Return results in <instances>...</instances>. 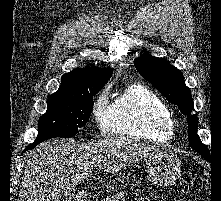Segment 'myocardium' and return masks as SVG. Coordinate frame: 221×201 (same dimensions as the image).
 Returning a JSON list of instances; mask_svg holds the SVG:
<instances>
[{"label": "myocardium", "mask_w": 221, "mask_h": 201, "mask_svg": "<svg viewBox=\"0 0 221 201\" xmlns=\"http://www.w3.org/2000/svg\"><path fill=\"white\" fill-rule=\"evenodd\" d=\"M162 128L168 129L171 132L172 135L175 132V124H174L173 120H171L169 124L168 123H163Z\"/></svg>", "instance_id": "myocardium-1"}]
</instances>
